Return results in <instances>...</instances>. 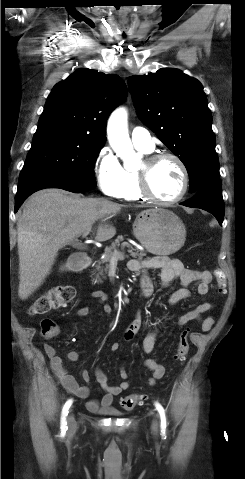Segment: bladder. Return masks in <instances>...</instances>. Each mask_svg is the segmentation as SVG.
<instances>
[{
	"instance_id": "bladder-1",
	"label": "bladder",
	"mask_w": 245,
	"mask_h": 479,
	"mask_svg": "<svg viewBox=\"0 0 245 479\" xmlns=\"http://www.w3.org/2000/svg\"><path fill=\"white\" fill-rule=\"evenodd\" d=\"M107 413L110 414V415H116V416H121L122 413L120 411H117V410H107Z\"/></svg>"
}]
</instances>
